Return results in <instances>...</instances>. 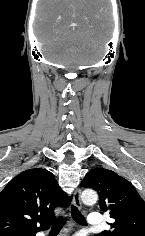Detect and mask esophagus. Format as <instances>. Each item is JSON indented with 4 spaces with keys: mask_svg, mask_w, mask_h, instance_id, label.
Listing matches in <instances>:
<instances>
[{
    "mask_svg": "<svg viewBox=\"0 0 145 236\" xmlns=\"http://www.w3.org/2000/svg\"><path fill=\"white\" fill-rule=\"evenodd\" d=\"M73 204H74L77 208H82L81 190H80V189H76V191L74 192V195H73Z\"/></svg>",
    "mask_w": 145,
    "mask_h": 236,
    "instance_id": "obj_1",
    "label": "esophagus"
}]
</instances>
